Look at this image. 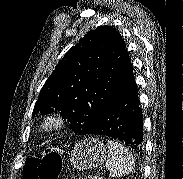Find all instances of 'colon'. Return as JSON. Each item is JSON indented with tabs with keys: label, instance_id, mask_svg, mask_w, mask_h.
<instances>
[{
	"label": "colon",
	"instance_id": "5ec220e1",
	"mask_svg": "<svg viewBox=\"0 0 183 179\" xmlns=\"http://www.w3.org/2000/svg\"><path fill=\"white\" fill-rule=\"evenodd\" d=\"M62 169L61 153L56 148L46 149L40 156L30 157L24 166V179H58Z\"/></svg>",
	"mask_w": 183,
	"mask_h": 179
}]
</instances>
